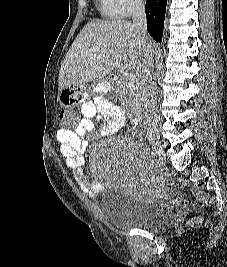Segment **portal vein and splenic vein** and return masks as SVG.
I'll list each match as a JSON object with an SVG mask.
<instances>
[{
	"mask_svg": "<svg viewBox=\"0 0 227 267\" xmlns=\"http://www.w3.org/2000/svg\"><path fill=\"white\" fill-rule=\"evenodd\" d=\"M127 81H128V85L132 86L133 84H135L137 76L133 73H129L126 75Z\"/></svg>",
	"mask_w": 227,
	"mask_h": 267,
	"instance_id": "obj_1",
	"label": "portal vein and splenic vein"
}]
</instances>
